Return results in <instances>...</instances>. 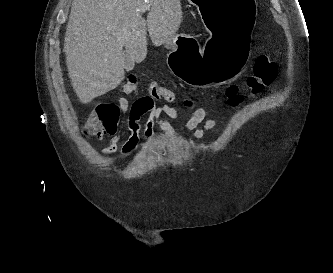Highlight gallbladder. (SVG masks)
Wrapping results in <instances>:
<instances>
[{"mask_svg": "<svg viewBox=\"0 0 333 273\" xmlns=\"http://www.w3.org/2000/svg\"><path fill=\"white\" fill-rule=\"evenodd\" d=\"M123 57H124V62H125L124 68L127 71L132 70L134 68L135 62L127 50H125L123 52Z\"/></svg>", "mask_w": 333, "mask_h": 273, "instance_id": "gallbladder-1", "label": "gallbladder"}]
</instances>
